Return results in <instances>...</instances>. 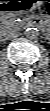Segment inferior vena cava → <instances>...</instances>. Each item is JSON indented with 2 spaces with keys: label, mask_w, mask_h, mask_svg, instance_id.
Masks as SVG:
<instances>
[{
  "label": "inferior vena cava",
  "mask_w": 50,
  "mask_h": 111,
  "mask_svg": "<svg viewBox=\"0 0 50 111\" xmlns=\"http://www.w3.org/2000/svg\"><path fill=\"white\" fill-rule=\"evenodd\" d=\"M20 35V33L18 31H8L7 33H5V38L6 39H11V38H16Z\"/></svg>",
  "instance_id": "inferior-vena-cava-1"
}]
</instances>
